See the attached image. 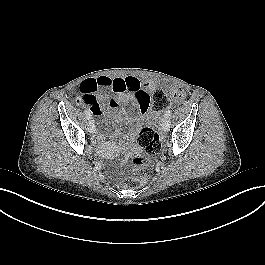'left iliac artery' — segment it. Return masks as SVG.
Wrapping results in <instances>:
<instances>
[{"mask_svg":"<svg viewBox=\"0 0 265 265\" xmlns=\"http://www.w3.org/2000/svg\"><path fill=\"white\" fill-rule=\"evenodd\" d=\"M171 114H172V110H171V109H168V110L165 112L164 117H165V118H169V117L171 116Z\"/></svg>","mask_w":265,"mask_h":265,"instance_id":"44dca946","label":"left iliac artery"}]
</instances>
